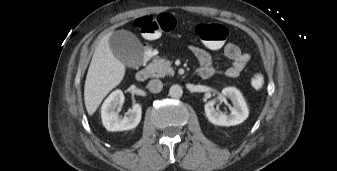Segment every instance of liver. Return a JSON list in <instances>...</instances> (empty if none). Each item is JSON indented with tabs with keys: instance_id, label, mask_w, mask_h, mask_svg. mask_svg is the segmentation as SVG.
<instances>
[{
	"instance_id": "6515ba94",
	"label": "liver",
	"mask_w": 337,
	"mask_h": 171,
	"mask_svg": "<svg viewBox=\"0 0 337 171\" xmlns=\"http://www.w3.org/2000/svg\"><path fill=\"white\" fill-rule=\"evenodd\" d=\"M111 35H105L98 43L86 76L84 101L89 115L94 114L105 96L121 83L125 75V65L111 51Z\"/></svg>"
}]
</instances>
